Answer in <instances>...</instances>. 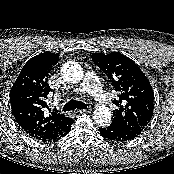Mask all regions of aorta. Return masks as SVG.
<instances>
[{"mask_svg":"<svg viewBox=\"0 0 174 174\" xmlns=\"http://www.w3.org/2000/svg\"><path fill=\"white\" fill-rule=\"evenodd\" d=\"M61 75L67 82L78 83L83 77V69L78 63L68 61L61 67ZM93 119L101 126L109 125L111 122V112L109 108L105 106L97 107L94 110Z\"/></svg>","mask_w":174,"mask_h":174,"instance_id":"obj_1","label":"aorta"}]
</instances>
